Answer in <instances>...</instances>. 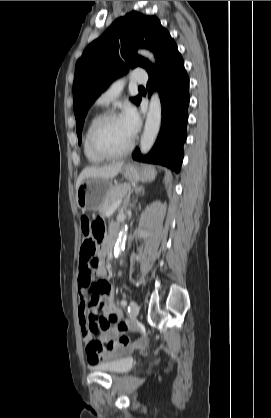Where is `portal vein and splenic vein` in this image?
<instances>
[{
	"label": "portal vein and splenic vein",
	"instance_id": "18ae733b",
	"mask_svg": "<svg viewBox=\"0 0 271 418\" xmlns=\"http://www.w3.org/2000/svg\"><path fill=\"white\" fill-rule=\"evenodd\" d=\"M122 202V197L118 200V201H116L110 208H109V210L107 211V213H106V217H110L114 212H115V210L117 209V207L120 205V203Z\"/></svg>",
	"mask_w": 271,
	"mask_h": 418
}]
</instances>
